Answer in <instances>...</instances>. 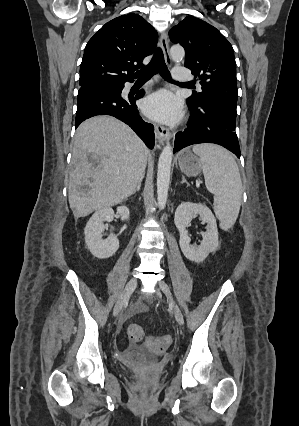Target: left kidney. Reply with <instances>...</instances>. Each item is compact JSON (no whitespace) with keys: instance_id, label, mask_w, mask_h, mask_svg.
<instances>
[{"instance_id":"obj_1","label":"left kidney","mask_w":299,"mask_h":426,"mask_svg":"<svg viewBox=\"0 0 299 426\" xmlns=\"http://www.w3.org/2000/svg\"><path fill=\"white\" fill-rule=\"evenodd\" d=\"M196 215H199L202 222L207 223V230L201 233L203 240L198 247L190 244L191 238L186 229ZM174 222L180 233L181 251L190 261L203 262L211 252L217 250L219 242L216 219L206 205L192 202L181 203L176 209Z\"/></svg>"}]
</instances>
